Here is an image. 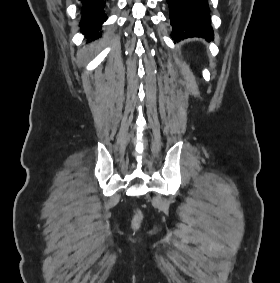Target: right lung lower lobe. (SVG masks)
<instances>
[{
    "label": "right lung lower lobe",
    "instance_id": "obj_1",
    "mask_svg": "<svg viewBox=\"0 0 280 283\" xmlns=\"http://www.w3.org/2000/svg\"><path fill=\"white\" fill-rule=\"evenodd\" d=\"M82 20L80 26L82 32L91 41L101 36L98 31L101 25L106 21L107 16L104 12L105 0H81Z\"/></svg>",
    "mask_w": 280,
    "mask_h": 283
}]
</instances>
